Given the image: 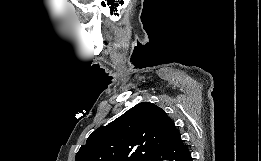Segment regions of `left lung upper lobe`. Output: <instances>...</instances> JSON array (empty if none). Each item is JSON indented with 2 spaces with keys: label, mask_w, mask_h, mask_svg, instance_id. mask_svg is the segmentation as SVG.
I'll use <instances>...</instances> for the list:
<instances>
[{
  "label": "left lung upper lobe",
  "mask_w": 261,
  "mask_h": 161,
  "mask_svg": "<svg viewBox=\"0 0 261 161\" xmlns=\"http://www.w3.org/2000/svg\"><path fill=\"white\" fill-rule=\"evenodd\" d=\"M176 131L163 109L142 102L96 129L75 161H149L153 151L166 145Z\"/></svg>",
  "instance_id": "5c2ea615"
}]
</instances>
